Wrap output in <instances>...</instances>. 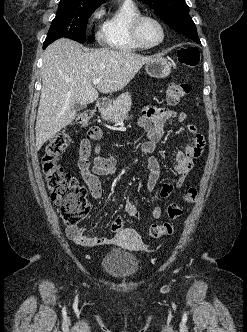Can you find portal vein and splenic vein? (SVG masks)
I'll return each instance as SVG.
<instances>
[{
  "label": "portal vein and splenic vein",
  "instance_id": "1",
  "mask_svg": "<svg viewBox=\"0 0 247 332\" xmlns=\"http://www.w3.org/2000/svg\"><path fill=\"white\" fill-rule=\"evenodd\" d=\"M100 80H101L100 78H96V79H94V80H93V84H94V85L99 84V83H100Z\"/></svg>",
  "mask_w": 247,
  "mask_h": 332
}]
</instances>
